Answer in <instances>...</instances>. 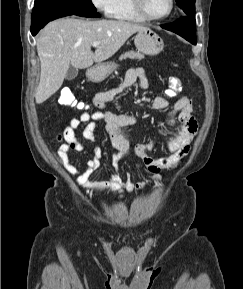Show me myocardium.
Returning <instances> with one entry per match:
<instances>
[{"mask_svg":"<svg viewBox=\"0 0 243 289\" xmlns=\"http://www.w3.org/2000/svg\"><path fill=\"white\" fill-rule=\"evenodd\" d=\"M133 1V5L135 10L137 11V13L142 16L145 20H149V21H159V20H164L167 17H169L173 10H174V6H175V1L174 0H169L170 1V6H169V10L166 14L162 15V16H152L150 15L146 8H145V0H132Z\"/></svg>","mask_w":243,"mask_h":289,"instance_id":"obj_1","label":"myocardium"}]
</instances>
